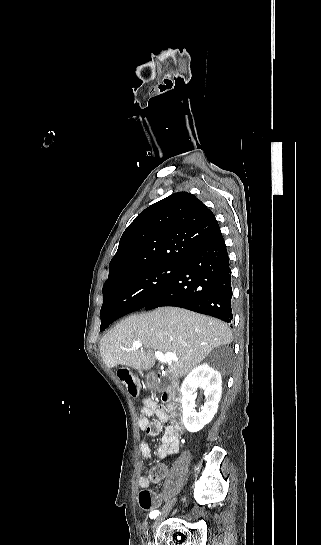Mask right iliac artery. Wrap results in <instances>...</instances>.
<instances>
[{"label": "right iliac artery", "mask_w": 321, "mask_h": 545, "mask_svg": "<svg viewBox=\"0 0 321 545\" xmlns=\"http://www.w3.org/2000/svg\"><path fill=\"white\" fill-rule=\"evenodd\" d=\"M159 514L160 512L155 510V511H152L149 516L151 519H155Z\"/></svg>", "instance_id": "right-iliac-artery-1"}]
</instances>
